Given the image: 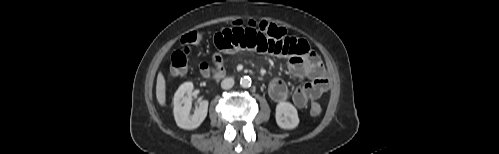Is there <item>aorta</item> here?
<instances>
[{
  "label": "aorta",
  "instance_id": "obj_1",
  "mask_svg": "<svg viewBox=\"0 0 499 154\" xmlns=\"http://www.w3.org/2000/svg\"><path fill=\"white\" fill-rule=\"evenodd\" d=\"M240 86L243 88H248L251 86V78L248 76H244L240 79Z\"/></svg>",
  "mask_w": 499,
  "mask_h": 154
}]
</instances>
